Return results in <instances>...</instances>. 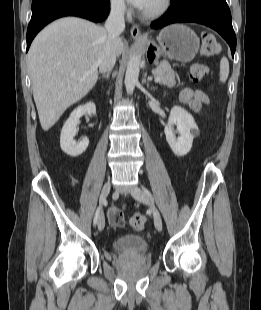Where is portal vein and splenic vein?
Masks as SVG:
<instances>
[{
    "mask_svg": "<svg viewBox=\"0 0 261 310\" xmlns=\"http://www.w3.org/2000/svg\"><path fill=\"white\" fill-rule=\"evenodd\" d=\"M154 81H155V82H160L161 79H160L159 77H155V78H154Z\"/></svg>",
    "mask_w": 261,
    "mask_h": 310,
    "instance_id": "portal-vein-and-splenic-vein-1",
    "label": "portal vein and splenic vein"
}]
</instances>
